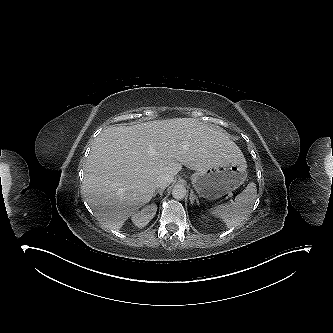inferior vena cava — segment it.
Instances as JSON below:
<instances>
[{
    "label": "inferior vena cava",
    "instance_id": "1",
    "mask_svg": "<svg viewBox=\"0 0 333 333\" xmlns=\"http://www.w3.org/2000/svg\"><path fill=\"white\" fill-rule=\"evenodd\" d=\"M173 179H174V177L172 175L161 174L157 178L156 186L158 188H166L167 186H169L171 184V182L173 181Z\"/></svg>",
    "mask_w": 333,
    "mask_h": 333
}]
</instances>
